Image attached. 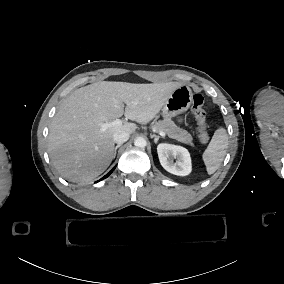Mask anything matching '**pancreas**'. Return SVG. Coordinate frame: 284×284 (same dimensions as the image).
I'll use <instances>...</instances> for the list:
<instances>
[{
  "instance_id": "obj_1",
  "label": "pancreas",
  "mask_w": 284,
  "mask_h": 284,
  "mask_svg": "<svg viewBox=\"0 0 284 284\" xmlns=\"http://www.w3.org/2000/svg\"><path fill=\"white\" fill-rule=\"evenodd\" d=\"M152 128L157 132L163 131L170 138L176 139L182 143L193 146L192 136L186 131L179 128L170 117H165L164 120L158 121L152 125Z\"/></svg>"
}]
</instances>
